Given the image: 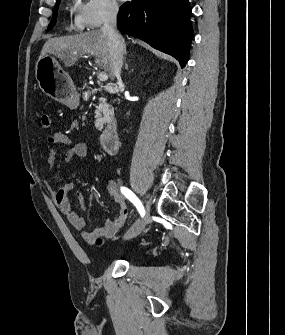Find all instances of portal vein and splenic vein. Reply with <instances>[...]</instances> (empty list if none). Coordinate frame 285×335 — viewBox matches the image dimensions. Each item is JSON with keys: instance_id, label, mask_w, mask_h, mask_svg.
Segmentation results:
<instances>
[{"instance_id": "portal-vein-and-splenic-vein-1", "label": "portal vein and splenic vein", "mask_w": 285, "mask_h": 335, "mask_svg": "<svg viewBox=\"0 0 285 335\" xmlns=\"http://www.w3.org/2000/svg\"><path fill=\"white\" fill-rule=\"evenodd\" d=\"M97 78L99 82H106V80H108V76L107 74H105V72H101V74H98Z\"/></svg>"}]
</instances>
